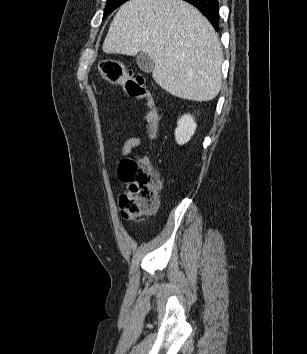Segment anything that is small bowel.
Returning a JSON list of instances; mask_svg holds the SVG:
<instances>
[{
    "mask_svg": "<svg viewBox=\"0 0 307 354\" xmlns=\"http://www.w3.org/2000/svg\"><path fill=\"white\" fill-rule=\"evenodd\" d=\"M142 143L143 139L141 137H131L126 139L121 147L120 155L127 156L134 148L141 146Z\"/></svg>",
    "mask_w": 307,
    "mask_h": 354,
    "instance_id": "1",
    "label": "small bowel"
}]
</instances>
